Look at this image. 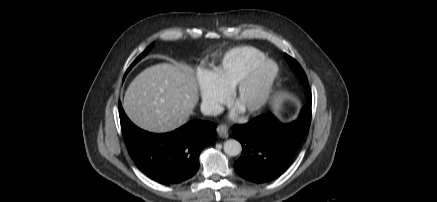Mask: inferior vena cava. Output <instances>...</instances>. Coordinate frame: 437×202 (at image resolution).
<instances>
[{
  "label": "inferior vena cava",
  "instance_id": "inferior-vena-cava-1",
  "mask_svg": "<svg viewBox=\"0 0 437 202\" xmlns=\"http://www.w3.org/2000/svg\"><path fill=\"white\" fill-rule=\"evenodd\" d=\"M222 110H223L222 106L216 103L203 102L201 104V112L204 115L215 116L220 114Z\"/></svg>",
  "mask_w": 437,
  "mask_h": 202
}]
</instances>
